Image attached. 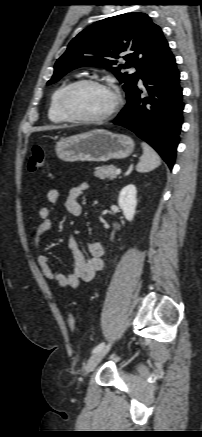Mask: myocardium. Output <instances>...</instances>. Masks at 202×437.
<instances>
[{
  "label": "myocardium",
  "mask_w": 202,
  "mask_h": 437,
  "mask_svg": "<svg viewBox=\"0 0 202 437\" xmlns=\"http://www.w3.org/2000/svg\"><path fill=\"white\" fill-rule=\"evenodd\" d=\"M85 85H92L97 86L103 89H106L110 91L114 96V103L110 110L105 113L104 115L98 116V117H84L75 114L69 107V99L73 92L77 90L78 88L85 86ZM122 105V96L120 91L117 87L110 83H106L97 79L93 78H84L77 80L73 83H71L62 93L60 97V110L65 118H67L69 121L76 122V123H82V124H101L108 120H110L120 109Z\"/></svg>",
  "instance_id": "f54148a6"
}]
</instances>
